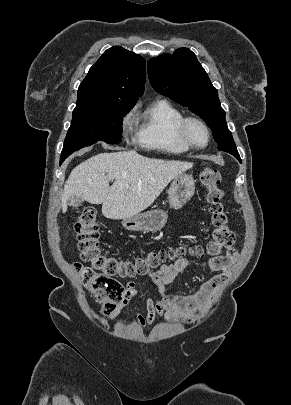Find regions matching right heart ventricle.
I'll return each instance as SVG.
<instances>
[{"label": "right heart ventricle", "instance_id": "e07e8e85", "mask_svg": "<svg viewBox=\"0 0 291 405\" xmlns=\"http://www.w3.org/2000/svg\"><path fill=\"white\" fill-rule=\"evenodd\" d=\"M182 112L164 99L151 103L138 118L136 138L147 149L182 154L190 150L177 137L176 127L182 119Z\"/></svg>", "mask_w": 291, "mask_h": 405}]
</instances>
